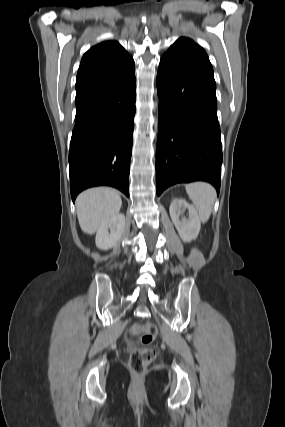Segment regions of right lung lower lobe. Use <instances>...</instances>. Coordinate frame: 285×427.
<instances>
[{
  "instance_id": "1",
  "label": "right lung lower lobe",
  "mask_w": 285,
  "mask_h": 427,
  "mask_svg": "<svg viewBox=\"0 0 285 427\" xmlns=\"http://www.w3.org/2000/svg\"><path fill=\"white\" fill-rule=\"evenodd\" d=\"M69 152L72 200L84 189L108 185L129 196L136 79L130 74L76 99Z\"/></svg>"
}]
</instances>
